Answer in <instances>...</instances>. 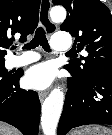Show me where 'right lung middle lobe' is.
Wrapping results in <instances>:
<instances>
[{
  "mask_svg": "<svg viewBox=\"0 0 112 135\" xmlns=\"http://www.w3.org/2000/svg\"><path fill=\"white\" fill-rule=\"evenodd\" d=\"M12 76L4 67V61H0V86L4 85Z\"/></svg>",
  "mask_w": 112,
  "mask_h": 135,
  "instance_id": "1",
  "label": "right lung middle lobe"
}]
</instances>
